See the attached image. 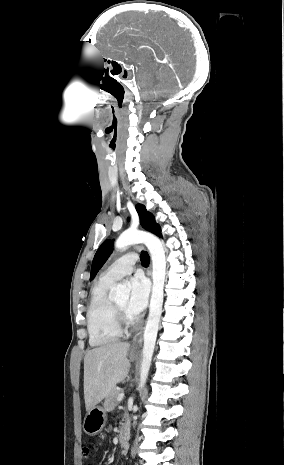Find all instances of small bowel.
I'll return each mask as SVG.
<instances>
[{"label":"small bowel","mask_w":284,"mask_h":465,"mask_svg":"<svg viewBox=\"0 0 284 465\" xmlns=\"http://www.w3.org/2000/svg\"><path fill=\"white\" fill-rule=\"evenodd\" d=\"M124 428H126V429L129 431V427H128V425H125V426H124Z\"/></svg>","instance_id":"obj_1"}]
</instances>
